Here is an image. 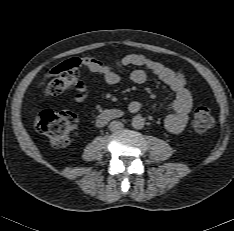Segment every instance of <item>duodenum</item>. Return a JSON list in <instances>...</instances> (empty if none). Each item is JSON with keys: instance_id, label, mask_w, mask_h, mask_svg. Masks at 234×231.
<instances>
[{"instance_id": "1", "label": "duodenum", "mask_w": 234, "mask_h": 231, "mask_svg": "<svg viewBox=\"0 0 234 231\" xmlns=\"http://www.w3.org/2000/svg\"><path fill=\"white\" fill-rule=\"evenodd\" d=\"M123 115V112L118 109H105L101 113L98 114L96 118V122L98 124H104L110 120L115 118H119Z\"/></svg>"}]
</instances>
